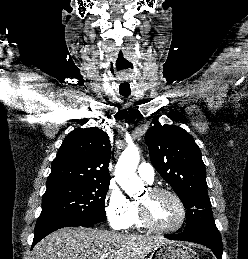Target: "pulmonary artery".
I'll list each match as a JSON object with an SVG mask.
<instances>
[{"label": "pulmonary artery", "mask_w": 248, "mask_h": 259, "mask_svg": "<svg viewBox=\"0 0 248 259\" xmlns=\"http://www.w3.org/2000/svg\"><path fill=\"white\" fill-rule=\"evenodd\" d=\"M138 175L148 183L154 180V169L149 163H141L137 170Z\"/></svg>", "instance_id": "obj_1"}]
</instances>
